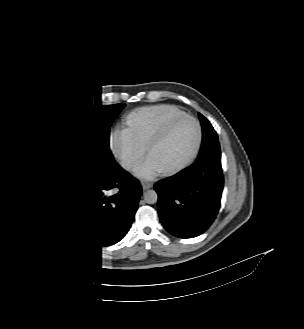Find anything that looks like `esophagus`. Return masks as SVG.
<instances>
[{"label": "esophagus", "mask_w": 304, "mask_h": 329, "mask_svg": "<svg viewBox=\"0 0 304 329\" xmlns=\"http://www.w3.org/2000/svg\"><path fill=\"white\" fill-rule=\"evenodd\" d=\"M152 186H153V184L150 183V182H146V181H143L142 182V188H143V190H148V189L152 188Z\"/></svg>", "instance_id": "1"}]
</instances>
